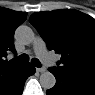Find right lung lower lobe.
I'll return each mask as SVG.
<instances>
[{
	"mask_svg": "<svg viewBox=\"0 0 95 95\" xmlns=\"http://www.w3.org/2000/svg\"><path fill=\"white\" fill-rule=\"evenodd\" d=\"M35 73V68L27 63L22 76L7 90L0 92V95H21L26 79Z\"/></svg>",
	"mask_w": 95,
	"mask_h": 95,
	"instance_id": "98d812e1",
	"label": "right lung lower lobe"
}]
</instances>
